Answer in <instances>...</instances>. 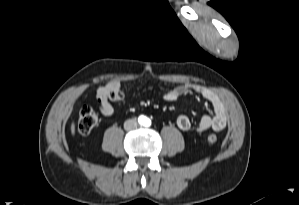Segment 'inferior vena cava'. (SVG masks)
<instances>
[{"label": "inferior vena cava", "instance_id": "602c4592", "mask_svg": "<svg viewBox=\"0 0 299 205\" xmlns=\"http://www.w3.org/2000/svg\"><path fill=\"white\" fill-rule=\"evenodd\" d=\"M137 127V121L134 119H128L124 122V129L127 131L133 130Z\"/></svg>", "mask_w": 299, "mask_h": 205}]
</instances>
